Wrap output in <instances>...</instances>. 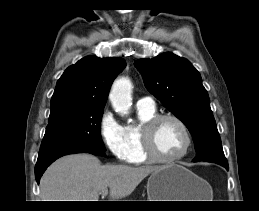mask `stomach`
I'll use <instances>...</instances> for the list:
<instances>
[{
    "instance_id": "0dacf381",
    "label": "stomach",
    "mask_w": 259,
    "mask_h": 211,
    "mask_svg": "<svg viewBox=\"0 0 259 211\" xmlns=\"http://www.w3.org/2000/svg\"><path fill=\"white\" fill-rule=\"evenodd\" d=\"M147 193L149 201H207L211 187L187 168L169 164L150 175Z\"/></svg>"
}]
</instances>
